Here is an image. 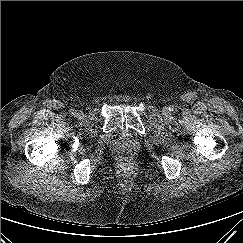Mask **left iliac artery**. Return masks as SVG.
<instances>
[{"label": "left iliac artery", "instance_id": "44dca946", "mask_svg": "<svg viewBox=\"0 0 243 243\" xmlns=\"http://www.w3.org/2000/svg\"><path fill=\"white\" fill-rule=\"evenodd\" d=\"M169 110H170V111H174V106L171 105V106L169 107Z\"/></svg>", "mask_w": 243, "mask_h": 243}]
</instances>
